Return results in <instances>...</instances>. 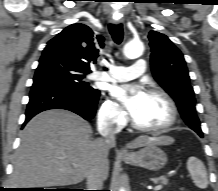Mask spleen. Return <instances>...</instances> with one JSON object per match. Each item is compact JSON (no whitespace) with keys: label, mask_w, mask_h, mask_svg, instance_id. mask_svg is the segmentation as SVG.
Segmentation results:
<instances>
[{"label":"spleen","mask_w":218,"mask_h":191,"mask_svg":"<svg viewBox=\"0 0 218 191\" xmlns=\"http://www.w3.org/2000/svg\"><path fill=\"white\" fill-rule=\"evenodd\" d=\"M187 169L190 172L193 183L201 189L208 186L207 172L204 164L196 157H190L187 161Z\"/></svg>","instance_id":"1"}]
</instances>
